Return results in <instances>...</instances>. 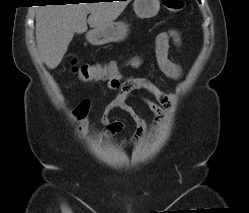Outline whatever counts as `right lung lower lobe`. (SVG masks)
<instances>
[{
  "label": "right lung lower lobe",
  "instance_id": "98d812e1",
  "mask_svg": "<svg viewBox=\"0 0 249 213\" xmlns=\"http://www.w3.org/2000/svg\"><path fill=\"white\" fill-rule=\"evenodd\" d=\"M66 0H47V2H54V3H65ZM43 3V2H42Z\"/></svg>",
  "mask_w": 249,
  "mask_h": 213
}]
</instances>
